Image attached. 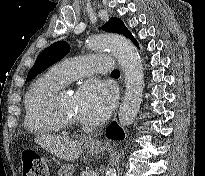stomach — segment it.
Wrapping results in <instances>:
<instances>
[{
	"mask_svg": "<svg viewBox=\"0 0 205 176\" xmlns=\"http://www.w3.org/2000/svg\"><path fill=\"white\" fill-rule=\"evenodd\" d=\"M87 151L92 155H97L103 151V146L93 141L87 142ZM74 172V166L72 164H66L60 171V176H72Z\"/></svg>",
	"mask_w": 205,
	"mask_h": 176,
	"instance_id": "stomach-1",
	"label": "stomach"
}]
</instances>
